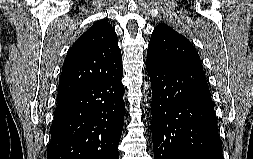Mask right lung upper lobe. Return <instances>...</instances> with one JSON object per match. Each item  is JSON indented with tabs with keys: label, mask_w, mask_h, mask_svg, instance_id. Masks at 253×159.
Returning a JSON list of instances; mask_svg holds the SVG:
<instances>
[{
	"label": "right lung upper lobe",
	"mask_w": 253,
	"mask_h": 159,
	"mask_svg": "<svg viewBox=\"0 0 253 159\" xmlns=\"http://www.w3.org/2000/svg\"><path fill=\"white\" fill-rule=\"evenodd\" d=\"M122 69V55L114 29L104 20L94 23L72 45L65 58L58 102Z\"/></svg>",
	"instance_id": "cb5924a9"
}]
</instances>
